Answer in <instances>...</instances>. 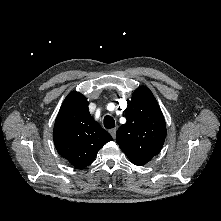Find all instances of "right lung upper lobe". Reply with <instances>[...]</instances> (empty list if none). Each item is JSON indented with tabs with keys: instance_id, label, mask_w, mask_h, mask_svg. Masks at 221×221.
<instances>
[{
	"instance_id": "cb5924a9",
	"label": "right lung upper lobe",
	"mask_w": 221,
	"mask_h": 221,
	"mask_svg": "<svg viewBox=\"0 0 221 221\" xmlns=\"http://www.w3.org/2000/svg\"><path fill=\"white\" fill-rule=\"evenodd\" d=\"M53 138L58 153L78 168L91 164L97 152L112 140L90 115L86 97L75 91L65 98L60 108Z\"/></svg>"
}]
</instances>
